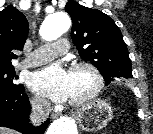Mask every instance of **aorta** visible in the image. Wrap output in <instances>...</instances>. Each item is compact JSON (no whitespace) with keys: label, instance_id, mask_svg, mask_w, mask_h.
<instances>
[{"label":"aorta","instance_id":"aorta-1","mask_svg":"<svg viewBox=\"0 0 153 134\" xmlns=\"http://www.w3.org/2000/svg\"><path fill=\"white\" fill-rule=\"evenodd\" d=\"M71 26L69 16L64 12H55L46 17L40 28V35L45 40H55L68 31ZM47 134H78L75 122L68 117H61L49 127Z\"/></svg>","mask_w":153,"mask_h":134}]
</instances>
